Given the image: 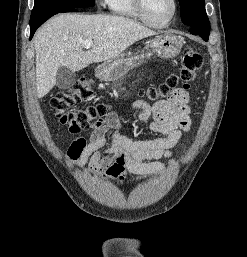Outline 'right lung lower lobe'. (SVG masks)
<instances>
[{
  "label": "right lung lower lobe",
  "mask_w": 247,
  "mask_h": 257,
  "mask_svg": "<svg viewBox=\"0 0 247 257\" xmlns=\"http://www.w3.org/2000/svg\"><path fill=\"white\" fill-rule=\"evenodd\" d=\"M78 11L77 9H65V10H59V11H54L50 12L47 14H44L34 20H30V40L33 37L35 31L37 30L38 27H40L46 20H48L50 17L53 15L60 13V12H76Z\"/></svg>",
  "instance_id": "98d812e1"
}]
</instances>
